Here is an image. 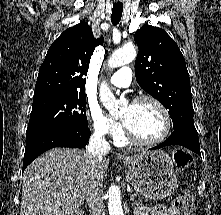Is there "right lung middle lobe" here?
<instances>
[{"mask_svg":"<svg viewBox=\"0 0 221 215\" xmlns=\"http://www.w3.org/2000/svg\"><path fill=\"white\" fill-rule=\"evenodd\" d=\"M84 93L49 96L33 102L26 136L58 130L78 132L88 128Z\"/></svg>","mask_w":221,"mask_h":215,"instance_id":"right-lung-middle-lobe-1","label":"right lung middle lobe"}]
</instances>
